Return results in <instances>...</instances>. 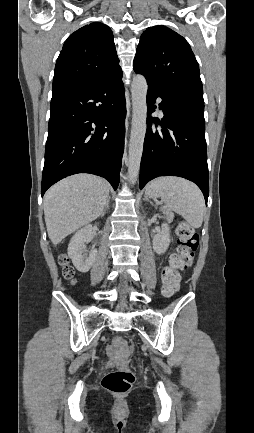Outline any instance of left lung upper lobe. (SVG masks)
<instances>
[{
	"label": "left lung upper lobe",
	"instance_id": "1",
	"mask_svg": "<svg viewBox=\"0 0 254 433\" xmlns=\"http://www.w3.org/2000/svg\"><path fill=\"white\" fill-rule=\"evenodd\" d=\"M134 70L164 93L204 103L199 65L190 45L165 26H153L143 32L134 58Z\"/></svg>",
	"mask_w": 254,
	"mask_h": 433
}]
</instances>
